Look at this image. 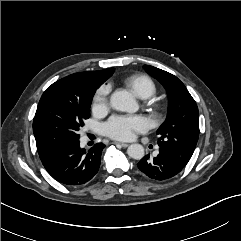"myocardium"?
Returning a JSON list of instances; mask_svg holds the SVG:
<instances>
[{"label": "myocardium", "instance_id": "1", "mask_svg": "<svg viewBox=\"0 0 241 241\" xmlns=\"http://www.w3.org/2000/svg\"><path fill=\"white\" fill-rule=\"evenodd\" d=\"M151 106H152V111L155 113V114H158L159 112V105L155 104V103H151Z\"/></svg>", "mask_w": 241, "mask_h": 241}]
</instances>
